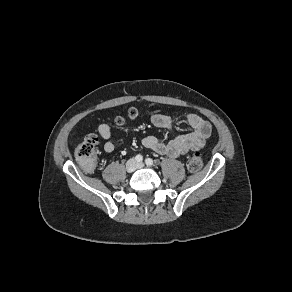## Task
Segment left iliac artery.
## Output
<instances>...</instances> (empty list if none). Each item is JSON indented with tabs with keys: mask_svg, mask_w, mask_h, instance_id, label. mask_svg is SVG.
Masks as SVG:
<instances>
[{
	"mask_svg": "<svg viewBox=\"0 0 292 292\" xmlns=\"http://www.w3.org/2000/svg\"><path fill=\"white\" fill-rule=\"evenodd\" d=\"M145 163H146L148 166H151V165L154 164V162H153V160H152L151 158H147V159L145 160Z\"/></svg>",
	"mask_w": 292,
	"mask_h": 292,
	"instance_id": "1",
	"label": "left iliac artery"
}]
</instances>
